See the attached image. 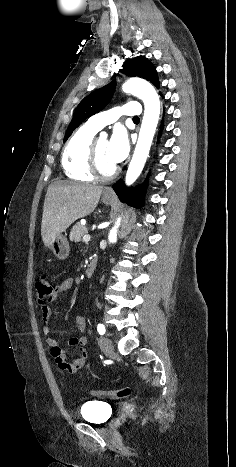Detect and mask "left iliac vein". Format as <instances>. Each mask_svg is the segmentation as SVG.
<instances>
[{
    "instance_id": "4c4485c4",
    "label": "left iliac vein",
    "mask_w": 236,
    "mask_h": 467,
    "mask_svg": "<svg viewBox=\"0 0 236 467\" xmlns=\"http://www.w3.org/2000/svg\"><path fill=\"white\" fill-rule=\"evenodd\" d=\"M99 346H100V349L107 355H110L114 352V346L111 342L110 339H108L107 337L105 336H101L99 338Z\"/></svg>"
}]
</instances>
